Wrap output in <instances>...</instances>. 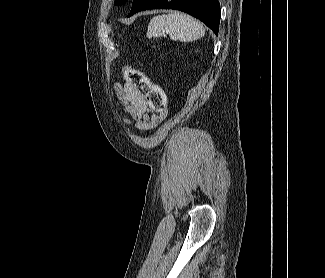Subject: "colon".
I'll list each match as a JSON object with an SVG mask.
<instances>
[{
  "label": "colon",
  "mask_w": 325,
  "mask_h": 278,
  "mask_svg": "<svg viewBox=\"0 0 325 278\" xmlns=\"http://www.w3.org/2000/svg\"><path fill=\"white\" fill-rule=\"evenodd\" d=\"M123 74L125 80L142 94L153 111L165 112V94L159 85L153 83L142 72L132 67H124Z\"/></svg>",
  "instance_id": "colon-1"
}]
</instances>
